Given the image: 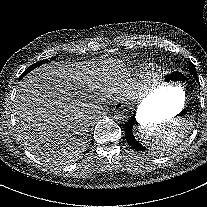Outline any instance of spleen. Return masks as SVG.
I'll return each instance as SVG.
<instances>
[{"label":"spleen","instance_id":"obj_1","mask_svg":"<svg viewBox=\"0 0 207 207\" xmlns=\"http://www.w3.org/2000/svg\"><path fill=\"white\" fill-rule=\"evenodd\" d=\"M194 125V118L185 115L181 119L172 118L162 123L138 126L134 129L133 136L144 146L162 151L181 145L189 137Z\"/></svg>","mask_w":207,"mask_h":207}]
</instances>
